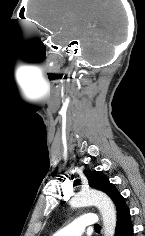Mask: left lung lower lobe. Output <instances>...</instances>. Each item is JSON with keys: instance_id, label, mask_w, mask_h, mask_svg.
Masks as SVG:
<instances>
[{"instance_id": "0a47b994", "label": "left lung lower lobe", "mask_w": 145, "mask_h": 236, "mask_svg": "<svg viewBox=\"0 0 145 236\" xmlns=\"http://www.w3.org/2000/svg\"><path fill=\"white\" fill-rule=\"evenodd\" d=\"M133 225L131 215L128 208L117 213V223L115 229V236H132Z\"/></svg>"}]
</instances>
